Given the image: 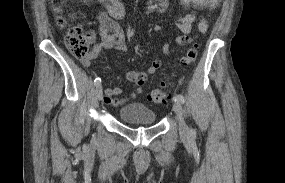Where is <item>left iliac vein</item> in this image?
<instances>
[{"label": "left iliac vein", "mask_w": 285, "mask_h": 183, "mask_svg": "<svg viewBox=\"0 0 285 183\" xmlns=\"http://www.w3.org/2000/svg\"><path fill=\"white\" fill-rule=\"evenodd\" d=\"M173 110L177 116L178 122H179V133L180 136L185 138L189 135V129L185 123L184 116H183V109L178 100H175L173 104Z\"/></svg>", "instance_id": "4c4485c4"}]
</instances>
